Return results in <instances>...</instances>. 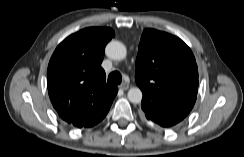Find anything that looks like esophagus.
<instances>
[{"label":"esophagus","mask_w":244,"mask_h":157,"mask_svg":"<svg viewBox=\"0 0 244 157\" xmlns=\"http://www.w3.org/2000/svg\"><path fill=\"white\" fill-rule=\"evenodd\" d=\"M119 88L121 90H127L129 88V85L127 83H122L121 85H119Z\"/></svg>","instance_id":"34e87169"}]
</instances>
